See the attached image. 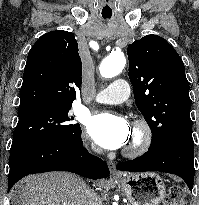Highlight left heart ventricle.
Returning <instances> with one entry per match:
<instances>
[{"label":"left heart ventricle","instance_id":"1","mask_svg":"<svg viewBox=\"0 0 199 205\" xmlns=\"http://www.w3.org/2000/svg\"><path fill=\"white\" fill-rule=\"evenodd\" d=\"M135 139H136V133H135L134 129H132L131 137H130L129 141L127 142L128 145L132 144L135 141Z\"/></svg>","mask_w":199,"mask_h":205}]
</instances>
